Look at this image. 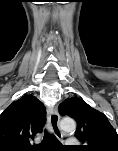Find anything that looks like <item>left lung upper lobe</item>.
<instances>
[{"label":"left lung upper lobe","instance_id":"obj_1","mask_svg":"<svg viewBox=\"0 0 118 151\" xmlns=\"http://www.w3.org/2000/svg\"><path fill=\"white\" fill-rule=\"evenodd\" d=\"M59 113L77 122L75 136L85 145L81 151H118V135L107 117L78 97L67 98L59 105Z\"/></svg>","mask_w":118,"mask_h":151}]
</instances>
